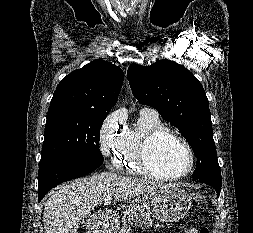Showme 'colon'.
Listing matches in <instances>:
<instances>
[{"mask_svg": "<svg viewBox=\"0 0 253 233\" xmlns=\"http://www.w3.org/2000/svg\"><path fill=\"white\" fill-rule=\"evenodd\" d=\"M195 200L197 202H202L204 201V195L201 193L195 194ZM199 233H209V229L207 227H202L199 231Z\"/></svg>", "mask_w": 253, "mask_h": 233, "instance_id": "obj_1", "label": "colon"}]
</instances>
